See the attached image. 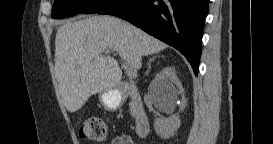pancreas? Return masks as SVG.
I'll return each mask as SVG.
<instances>
[{
  "label": "pancreas",
  "instance_id": "obj_1",
  "mask_svg": "<svg viewBox=\"0 0 273 144\" xmlns=\"http://www.w3.org/2000/svg\"><path fill=\"white\" fill-rule=\"evenodd\" d=\"M131 115L134 116V113L131 111Z\"/></svg>",
  "mask_w": 273,
  "mask_h": 144
}]
</instances>
